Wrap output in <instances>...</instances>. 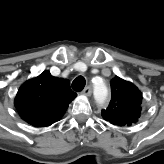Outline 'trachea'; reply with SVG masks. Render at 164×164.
Returning <instances> with one entry per match:
<instances>
[{
    "instance_id": "3493384b",
    "label": "trachea",
    "mask_w": 164,
    "mask_h": 164,
    "mask_svg": "<svg viewBox=\"0 0 164 164\" xmlns=\"http://www.w3.org/2000/svg\"><path fill=\"white\" fill-rule=\"evenodd\" d=\"M85 84H86L85 78L83 76H78L72 82V89L74 91H82L83 88L85 87Z\"/></svg>"
}]
</instances>
